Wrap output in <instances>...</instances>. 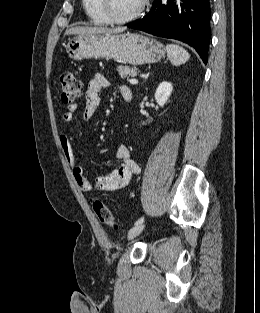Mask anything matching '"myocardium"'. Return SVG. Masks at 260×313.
<instances>
[{
    "label": "myocardium",
    "instance_id": "1",
    "mask_svg": "<svg viewBox=\"0 0 260 313\" xmlns=\"http://www.w3.org/2000/svg\"><path fill=\"white\" fill-rule=\"evenodd\" d=\"M111 0H99V8L109 23L124 24L137 19L146 7L147 0H142L139 7L130 15L118 17L112 11Z\"/></svg>",
    "mask_w": 260,
    "mask_h": 313
}]
</instances>
